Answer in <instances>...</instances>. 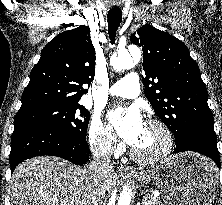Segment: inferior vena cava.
Instances as JSON below:
<instances>
[{"mask_svg":"<svg viewBox=\"0 0 222 205\" xmlns=\"http://www.w3.org/2000/svg\"><path fill=\"white\" fill-rule=\"evenodd\" d=\"M90 173H93L96 177H103L113 171L109 157L94 156L89 166Z\"/></svg>","mask_w":222,"mask_h":205,"instance_id":"1","label":"inferior vena cava"}]
</instances>
